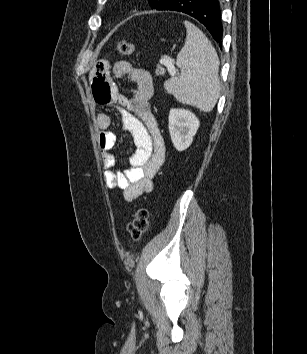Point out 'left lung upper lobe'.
<instances>
[{
    "label": "left lung upper lobe",
    "instance_id": "5c2ea615",
    "mask_svg": "<svg viewBox=\"0 0 307 354\" xmlns=\"http://www.w3.org/2000/svg\"><path fill=\"white\" fill-rule=\"evenodd\" d=\"M170 0H148L150 6L155 9H160L162 8L166 3H168Z\"/></svg>",
    "mask_w": 307,
    "mask_h": 354
}]
</instances>
